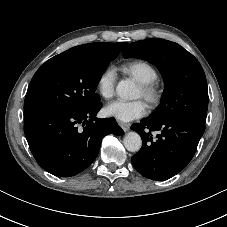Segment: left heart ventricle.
<instances>
[{"mask_svg":"<svg viewBox=\"0 0 227 227\" xmlns=\"http://www.w3.org/2000/svg\"><path fill=\"white\" fill-rule=\"evenodd\" d=\"M138 96H141V90H140V88L138 90Z\"/></svg>","mask_w":227,"mask_h":227,"instance_id":"left-heart-ventricle-1","label":"left heart ventricle"}]
</instances>
